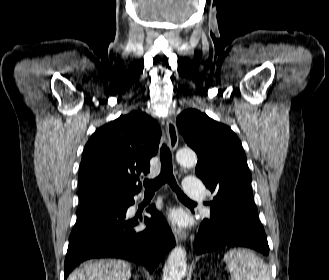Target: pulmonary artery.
<instances>
[{"label": "pulmonary artery", "mask_w": 329, "mask_h": 280, "mask_svg": "<svg viewBox=\"0 0 329 280\" xmlns=\"http://www.w3.org/2000/svg\"><path fill=\"white\" fill-rule=\"evenodd\" d=\"M184 192L188 198L202 200L205 195V188L199 178L189 176L184 181Z\"/></svg>", "instance_id": "e3ab8cb5"}]
</instances>
